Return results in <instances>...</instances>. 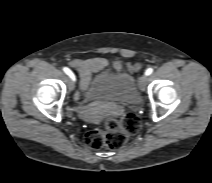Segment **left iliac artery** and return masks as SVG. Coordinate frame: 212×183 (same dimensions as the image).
I'll return each instance as SVG.
<instances>
[{
    "label": "left iliac artery",
    "mask_w": 212,
    "mask_h": 183,
    "mask_svg": "<svg viewBox=\"0 0 212 183\" xmlns=\"http://www.w3.org/2000/svg\"><path fill=\"white\" fill-rule=\"evenodd\" d=\"M153 72V69L152 68H148L145 72V75L148 76L150 75L151 73Z\"/></svg>",
    "instance_id": "obj_1"
}]
</instances>
